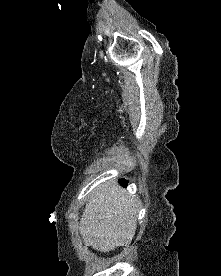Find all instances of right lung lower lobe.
I'll list each match as a JSON object with an SVG mask.
<instances>
[{"instance_id": "1", "label": "right lung lower lobe", "mask_w": 221, "mask_h": 276, "mask_svg": "<svg viewBox=\"0 0 221 276\" xmlns=\"http://www.w3.org/2000/svg\"><path fill=\"white\" fill-rule=\"evenodd\" d=\"M120 184L125 187L128 184V181L125 179H121Z\"/></svg>"}]
</instances>
